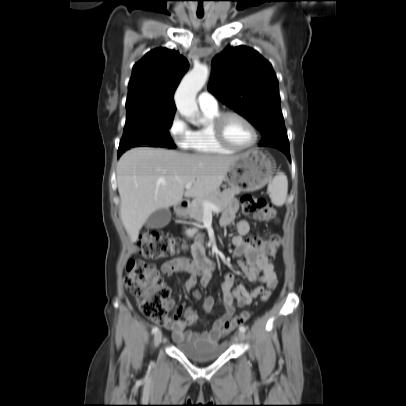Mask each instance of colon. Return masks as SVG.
Segmentation results:
<instances>
[{
  "mask_svg": "<svg viewBox=\"0 0 406 406\" xmlns=\"http://www.w3.org/2000/svg\"><path fill=\"white\" fill-rule=\"evenodd\" d=\"M241 204L246 214H252L255 219L261 222L277 220L275 208L268 205L262 197L245 195L241 198ZM258 246L261 254L271 259L279 246V238L273 236L269 239L260 240ZM137 247L139 254L146 259H162L180 253L183 249V242L155 230H144L139 235ZM124 285L136 297L144 316L159 325L167 323V299L170 290L164 284L157 267L141 260H130L126 267ZM270 296L271 291L269 289L264 290L261 294V301H268ZM249 318L250 312L243 311L226 321L223 329L226 332L230 331L246 323Z\"/></svg>",
  "mask_w": 406,
  "mask_h": 406,
  "instance_id": "obj_1",
  "label": "colon"
}]
</instances>
